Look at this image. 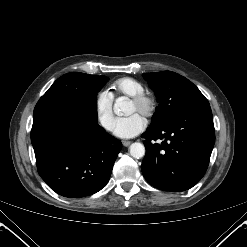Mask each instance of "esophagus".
Returning a JSON list of instances; mask_svg holds the SVG:
<instances>
[{
    "label": "esophagus",
    "mask_w": 247,
    "mask_h": 247,
    "mask_svg": "<svg viewBox=\"0 0 247 247\" xmlns=\"http://www.w3.org/2000/svg\"><path fill=\"white\" fill-rule=\"evenodd\" d=\"M122 144H123L125 147H128V146L131 144V141L123 140V141H122Z\"/></svg>",
    "instance_id": "1"
}]
</instances>
